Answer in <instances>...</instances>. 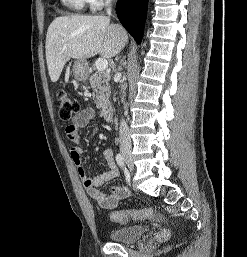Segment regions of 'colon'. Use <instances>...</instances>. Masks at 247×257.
I'll return each mask as SVG.
<instances>
[{
	"instance_id": "colon-1",
	"label": "colon",
	"mask_w": 247,
	"mask_h": 257,
	"mask_svg": "<svg viewBox=\"0 0 247 257\" xmlns=\"http://www.w3.org/2000/svg\"><path fill=\"white\" fill-rule=\"evenodd\" d=\"M56 101L59 110V116L64 121H71L75 115L80 112V103L76 98L64 90L57 92ZM154 217L152 209L143 210H119L113 211L110 218L113 222L126 223L129 220H147Z\"/></svg>"
}]
</instances>
